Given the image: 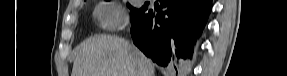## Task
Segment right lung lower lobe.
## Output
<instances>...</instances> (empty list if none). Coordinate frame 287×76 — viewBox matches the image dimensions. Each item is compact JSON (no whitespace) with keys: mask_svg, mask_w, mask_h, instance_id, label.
Returning a JSON list of instances; mask_svg holds the SVG:
<instances>
[{"mask_svg":"<svg viewBox=\"0 0 287 76\" xmlns=\"http://www.w3.org/2000/svg\"><path fill=\"white\" fill-rule=\"evenodd\" d=\"M161 7L164 12L146 10L139 16L131 25V36L134 44L158 65H179L182 59L191 58L212 0H164Z\"/></svg>","mask_w":287,"mask_h":76,"instance_id":"obj_1","label":"right lung lower lobe"}]
</instances>
